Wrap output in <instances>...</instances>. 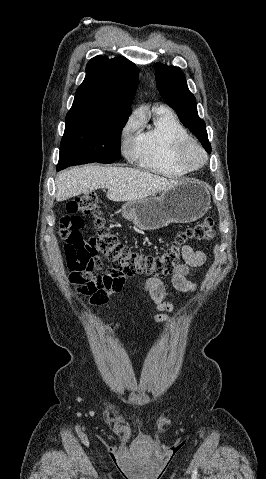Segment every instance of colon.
I'll use <instances>...</instances> for the list:
<instances>
[{"label": "colon", "instance_id": "5ec220e1", "mask_svg": "<svg viewBox=\"0 0 266 479\" xmlns=\"http://www.w3.org/2000/svg\"><path fill=\"white\" fill-rule=\"evenodd\" d=\"M66 211L60 219V233L65 238L63 250L71 282L94 305L103 304L110 294L119 292L125 276L158 278L172 274L180 266L183 248L189 241H210L215 237L214 221L207 217L178 233L161 254H145L123 244L108 227L96 195L87 193L71 199ZM89 214L94 215L97 234L87 239L82 232L87 229ZM100 254L111 272L93 275L101 263Z\"/></svg>", "mask_w": 266, "mask_h": 479}]
</instances>
